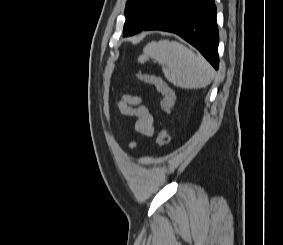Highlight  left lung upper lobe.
I'll return each instance as SVG.
<instances>
[{
  "instance_id": "obj_1",
  "label": "left lung upper lobe",
  "mask_w": 283,
  "mask_h": 245,
  "mask_svg": "<svg viewBox=\"0 0 283 245\" xmlns=\"http://www.w3.org/2000/svg\"><path fill=\"white\" fill-rule=\"evenodd\" d=\"M173 0H127L123 33L134 35L151 24Z\"/></svg>"
}]
</instances>
